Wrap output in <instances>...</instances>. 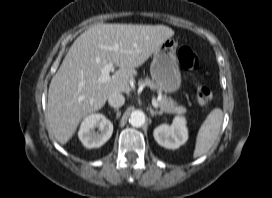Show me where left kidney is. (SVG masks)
I'll return each instance as SVG.
<instances>
[{
  "mask_svg": "<svg viewBox=\"0 0 272 198\" xmlns=\"http://www.w3.org/2000/svg\"><path fill=\"white\" fill-rule=\"evenodd\" d=\"M154 138L157 143L168 149H177L188 139L186 119L176 116L172 125L162 124L154 130Z\"/></svg>",
  "mask_w": 272,
  "mask_h": 198,
  "instance_id": "left-kidney-1",
  "label": "left kidney"
}]
</instances>
